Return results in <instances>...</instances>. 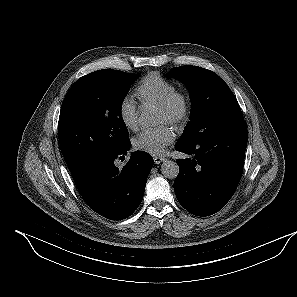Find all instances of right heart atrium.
Masks as SVG:
<instances>
[{
    "mask_svg": "<svg viewBox=\"0 0 297 297\" xmlns=\"http://www.w3.org/2000/svg\"><path fill=\"white\" fill-rule=\"evenodd\" d=\"M118 116L122 124L129 130L138 128V108L130 96H124L118 104Z\"/></svg>",
    "mask_w": 297,
    "mask_h": 297,
    "instance_id": "1",
    "label": "right heart atrium"
}]
</instances>
